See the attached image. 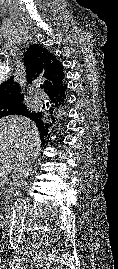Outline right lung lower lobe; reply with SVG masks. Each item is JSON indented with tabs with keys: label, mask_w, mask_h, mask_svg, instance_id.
Instances as JSON below:
<instances>
[{
	"label": "right lung lower lobe",
	"mask_w": 118,
	"mask_h": 269,
	"mask_svg": "<svg viewBox=\"0 0 118 269\" xmlns=\"http://www.w3.org/2000/svg\"><path fill=\"white\" fill-rule=\"evenodd\" d=\"M45 142V140H42V143H44Z\"/></svg>",
	"instance_id": "98d812e1"
}]
</instances>
